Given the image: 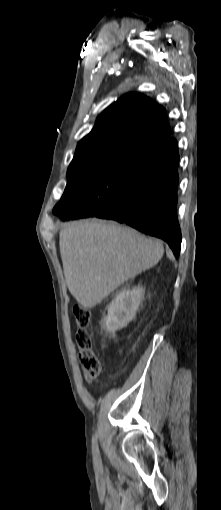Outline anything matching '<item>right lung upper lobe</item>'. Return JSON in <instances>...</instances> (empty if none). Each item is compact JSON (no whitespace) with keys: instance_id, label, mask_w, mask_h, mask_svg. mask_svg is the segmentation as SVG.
Here are the masks:
<instances>
[{"instance_id":"1","label":"right lung upper lobe","mask_w":221,"mask_h":510,"mask_svg":"<svg viewBox=\"0 0 221 510\" xmlns=\"http://www.w3.org/2000/svg\"><path fill=\"white\" fill-rule=\"evenodd\" d=\"M163 107L139 93H130L97 118L92 131L77 145L73 160L115 149L155 151L175 139Z\"/></svg>"}]
</instances>
